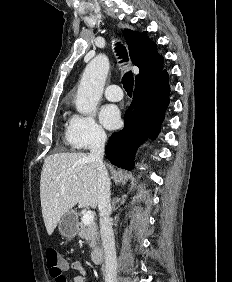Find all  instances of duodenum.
Wrapping results in <instances>:
<instances>
[{"label":"duodenum","instance_id":"1","mask_svg":"<svg viewBox=\"0 0 232 282\" xmlns=\"http://www.w3.org/2000/svg\"><path fill=\"white\" fill-rule=\"evenodd\" d=\"M91 259L95 264H101L104 259L103 249L99 246H96L92 249Z\"/></svg>","mask_w":232,"mask_h":282}]
</instances>
